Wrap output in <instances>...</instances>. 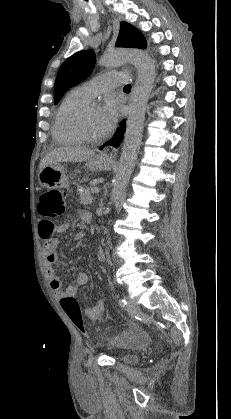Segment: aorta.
<instances>
[{
    "label": "aorta",
    "mask_w": 231,
    "mask_h": 419,
    "mask_svg": "<svg viewBox=\"0 0 231 419\" xmlns=\"http://www.w3.org/2000/svg\"><path fill=\"white\" fill-rule=\"evenodd\" d=\"M99 62L105 67H115L125 62H131L137 69V78L129 101L120 163L111 195V201L115 202L126 188L137 161L142 142L146 108L154 85L156 70L150 55L135 49H117L105 53Z\"/></svg>",
    "instance_id": "obj_1"
}]
</instances>
